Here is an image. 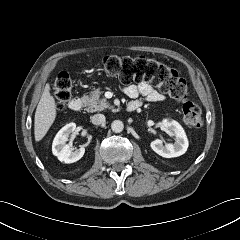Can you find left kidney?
<instances>
[{
	"label": "left kidney",
	"instance_id": "obj_1",
	"mask_svg": "<svg viewBox=\"0 0 240 240\" xmlns=\"http://www.w3.org/2000/svg\"><path fill=\"white\" fill-rule=\"evenodd\" d=\"M162 126L166 131H172L174 133L176 142L174 144L163 145L160 139H156L150 144L152 150L165 158L183 155L187 151L189 143L182 126L178 122L169 119H164Z\"/></svg>",
	"mask_w": 240,
	"mask_h": 240
}]
</instances>
